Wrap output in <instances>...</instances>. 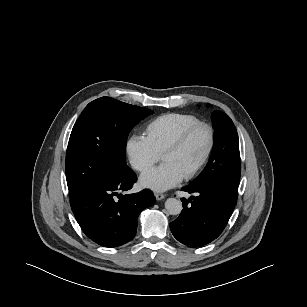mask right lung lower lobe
I'll return each mask as SVG.
<instances>
[{"label":"right lung lower lobe","instance_id":"right-lung-lower-lobe-1","mask_svg":"<svg viewBox=\"0 0 307 307\" xmlns=\"http://www.w3.org/2000/svg\"><path fill=\"white\" fill-rule=\"evenodd\" d=\"M136 180V174L127 167L115 177L70 198L75 218L91 240L104 247H117L134 238L140 212L155 203L148 189L119 194L130 190Z\"/></svg>","mask_w":307,"mask_h":307}]
</instances>
